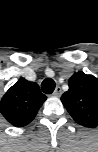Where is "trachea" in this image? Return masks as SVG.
Listing matches in <instances>:
<instances>
[{
    "label": "trachea",
    "mask_w": 98,
    "mask_h": 152,
    "mask_svg": "<svg viewBox=\"0 0 98 152\" xmlns=\"http://www.w3.org/2000/svg\"><path fill=\"white\" fill-rule=\"evenodd\" d=\"M55 86V81L50 78L43 80L41 84L42 91L46 94H51L54 91Z\"/></svg>",
    "instance_id": "obj_1"
}]
</instances>
